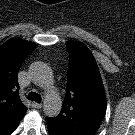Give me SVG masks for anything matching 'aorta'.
<instances>
[{"mask_svg": "<svg viewBox=\"0 0 135 135\" xmlns=\"http://www.w3.org/2000/svg\"><path fill=\"white\" fill-rule=\"evenodd\" d=\"M30 74L32 80L37 85L43 87H50L52 83V73L50 72L47 65L42 62H35L30 68ZM62 107L61 99L58 97L57 94H54L51 90L46 95L44 100V113L48 117H55L57 116Z\"/></svg>", "mask_w": 135, "mask_h": 135, "instance_id": "762f6f07", "label": "aorta"}]
</instances>
